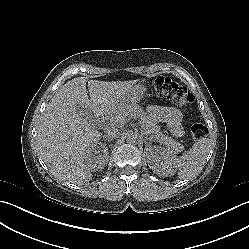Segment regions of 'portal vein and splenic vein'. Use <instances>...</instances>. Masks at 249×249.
Here are the masks:
<instances>
[{"label":"portal vein and splenic vein","instance_id":"1","mask_svg":"<svg viewBox=\"0 0 249 249\" xmlns=\"http://www.w3.org/2000/svg\"><path fill=\"white\" fill-rule=\"evenodd\" d=\"M115 122H120V123H121V122H122V120H121V119H120V120H115Z\"/></svg>","mask_w":249,"mask_h":249}]
</instances>
